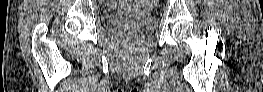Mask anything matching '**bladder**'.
Returning <instances> with one entry per match:
<instances>
[{"label": "bladder", "mask_w": 263, "mask_h": 92, "mask_svg": "<svg viewBox=\"0 0 263 92\" xmlns=\"http://www.w3.org/2000/svg\"><path fill=\"white\" fill-rule=\"evenodd\" d=\"M107 19L115 27H123L128 24L143 27L152 21V14L145 9L114 10L108 14Z\"/></svg>", "instance_id": "1"}]
</instances>
